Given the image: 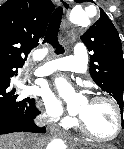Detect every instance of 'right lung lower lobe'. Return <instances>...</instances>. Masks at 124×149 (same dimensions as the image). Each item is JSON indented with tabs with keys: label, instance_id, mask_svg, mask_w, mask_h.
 <instances>
[{
	"label": "right lung lower lobe",
	"instance_id": "obj_1",
	"mask_svg": "<svg viewBox=\"0 0 124 149\" xmlns=\"http://www.w3.org/2000/svg\"><path fill=\"white\" fill-rule=\"evenodd\" d=\"M18 66H0V135L13 132L45 133L33 120L39 114L34 99L18 100L15 89L10 87V78L17 75Z\"/></svg>",
	"mask_w": 124,
	"mask_h": 149
}]
</instances>
